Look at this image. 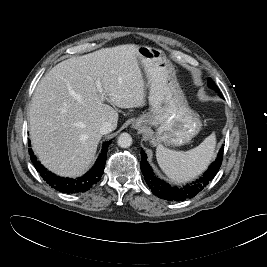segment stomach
Here are the masks:
<instances>
[{
  "label": "stomach",
  "mask_w": 267,
  "mask_h": 267,
  "mask_svg": "<svg viewBox=\"0 0 267 267\" xmlns=\"http://www.w3.org/2000/svg\"><path fill=\"white\" fill-rule=\"evenodd\" d=\"M138 60L149 90V112L137 118L136 129L155 126L150 132L152 145L181 146L201 129L198 115L189 107L176 77V70L165 53L148 46L138 47Z\"/></svg>",
  "instance_id": "stomach-1"
}]
</instances>
